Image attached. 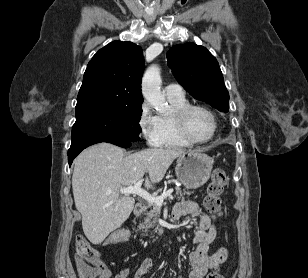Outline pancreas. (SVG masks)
<instances>
[{
  "instance_id": "pancreas-1",
  "label": "pancreas",
  "mask_w": 308,
  "mask_h": 278,
  "mask_svg": "<svg viewBox=\"0 0 308 278\" xmlns=\"http://www.w3.org/2000/svg\"><path fill=\"white\" fill-rule=\"evenodd\" d=\"M176 196L178 199L183 198L185 195H189V192H187L185 189H181L180 186H176ZM145 212V217L143 222L139 225V230L147 232L149 228L155 227L157 225V218L160 214V207L156 205L155 203L147 202L145 204V209H149Z\"/></svg>"
}]
</instances>
